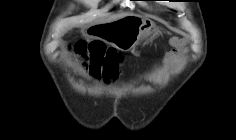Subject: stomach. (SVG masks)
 I'll use <instances>...</instances> for the list:
<instances>
[{"label": "stomach", "instance_id": "1", "mask_svg": "<svg viewBox=\"0 0 236 140\" xmlns=\"http://www.w3.org/2000/svg\"><path fill=\"white\" fill-rule=\"evenodd\" d=\"M89 31L91 41H104V44H115L122 50L134 48L139 42L157 32L152 21L138 16H125L116 22H100L91 25Z\"/></svg>", "mask_w": 236, "mask_h": 140}]
</instances>
